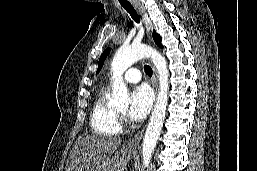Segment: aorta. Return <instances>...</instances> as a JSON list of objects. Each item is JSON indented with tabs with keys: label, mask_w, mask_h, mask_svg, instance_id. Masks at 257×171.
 <instances>
[{
	"label": "aorta",
	"mask_w": 257,
	"mask_h": 171,
	"mask_svg": "<svg viewBox=\"0 0 257 171\" xmlns=\"http://www.w3.org/2000/svg\"><path fill=\"white\" fill-rule=\"evenodd\" d=\"M147 57L152 59L157 69L159 92L143 139L142 161L144 167L149 165L166 115L169 91V71L166 59L155 49L144 44H133L128 47L119 48L111 63L113 81L110 98V104L114 107H126L129 104L128 89L122 75L133 63Z\"/></svg>",
	"instance_id": "1"
}]
</instances>
